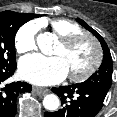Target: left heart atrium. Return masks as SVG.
Masks as SVG:
<instances>
[{
    "mask_svg": "<svg viewBox=\"0 0 117 117\" xmlns=\"http://www.w3.org/2000/svg\"><path fill=\"white\" fill-rule=\"evenodd\" d=\"M21 76L37 85L45 86L61 82L68 75L67 67L60 57L28 55L19 64Z\"/></svg>",
    "mask_w": 117,
    "mask_h": 117,
    "instance_id": "left-heart-atrium-1",
    "label": "left heart atrium"
}]
</instances>
